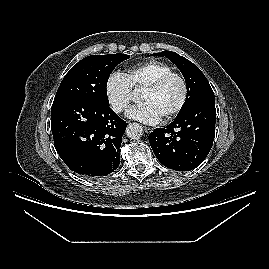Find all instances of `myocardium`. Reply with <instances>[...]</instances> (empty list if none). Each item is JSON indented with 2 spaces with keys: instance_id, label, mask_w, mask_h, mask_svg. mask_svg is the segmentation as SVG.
I'll list each match as a JSON object with an SVG mask.
<instances>
[{
  "instance_id": "myocardium-1",
  "label": "myocardium",
  "mask_w": 269,
  "mask_h": 269,
  "mask_svg": "<svg viewBox=\"0 0 269 269\" xmlns=\"http://www.w3.org/2000/svg\"><path fill=\"white\" fill-rule=\"evenodd\" d=\"M173 77H176L181 81L182 87H183V93L177 106L162 118L163 121L171 120L176 115H178L185 107L188 97H189V84L186 77L180 72L171 71V72L161 75L152 83L144 87V90H148L151 92L158 91L169 79Z\"/></svg>"
}]
</instances>
